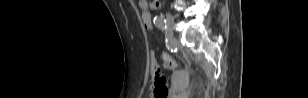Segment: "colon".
<instances>
[{"instance_id": "5ec220e1", "label": "colon", "mask_w": 308, "mask_h": 98, "mask_svg": "<svg viewBox=\"0 0 308 98\" xmlns=\"http://www.w3.org/2000/svg\"><path fill=\"white\" fill-rule=\"evenodd\" d=\"M140 15L143 16L144 31H154L155 25L150 21L151 10L150 9H141ZM162 61L166 68L175 69L177 68L176 60L169 54H164L162 56ZM151 73L153 76L152 88L154 96L156 98H166L168 96V83L165 76L162 74L160 66L154 56L151 58Z\"/></svg>"}]
</instances>
